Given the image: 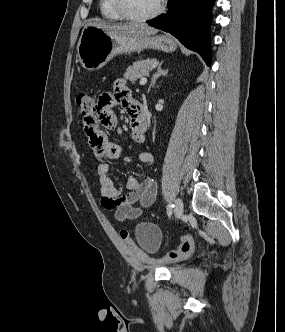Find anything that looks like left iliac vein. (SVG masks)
<instances>
[{"label": "left iliac vein", "mask_w": 285, "mask_h": 332, "mask_svg": "<svg viewBox=\"0 0 285 332\" xmlns=\"http://www.w3.org/2000/svg\"><path fill=\"white\" fill-rule=\"evenodd\" d=\"M174 213L176 218H181L183 215V202L180 198H177L174 206Z\"/></svg>", "instance_id": "obj_1"}]
</instances>
